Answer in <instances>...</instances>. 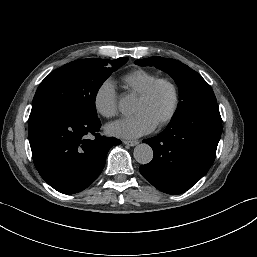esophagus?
Listing matches in <instances>:
<instances>
[{
    "mask_svg": "<svg viewBox=\"0 0 257 257\" xmlns=\"http://www.w3.org/2000/svg\"><path fill=\"white\" fill-rule=\"evenodd\" d=\"M123 143L128 146H136L139 142L138 141H131V140H124Z\"/></svg>",
    "mask_w": 257,
    "mask_h": 257,
    "instance_id": "obj_1",
    "label": "esophagus"
}]
</instances>
